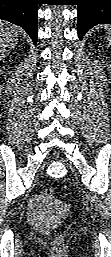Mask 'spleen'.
<instances>
[{"label":"spleen","instance_id":"3e777b00","mask_svg":"<svg viewBox=\"0 0 111 257\" xmlns=\"http://www.w3.org/2000/svg\"><path fill=\"white\" fill-rule=\"evenodd\" d=\"M106 30V36H107V40L109 41V43L111 44V26H107L105 27Z\"/></svg>","mask_w":111,"mask_h":257}]
</instances>
